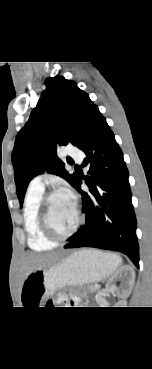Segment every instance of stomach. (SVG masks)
Returning a JSON list of instances; mask_svg holds the SVG:
<instances>
[{
    "label": "stomach",
    "mask_w": 152,
    "mask_h": 369,
    "mask_svg": "<svg viewBox=\"0 0 152 369\" xmlns=\"http://www.w3.org/2000/svg\"><path fill=\"white\" fill-rule=\"evenodd\" d=\"M120 263V257L112 253L75 252L54 266L31 272L22 283V298L38 303L66 285L81 286L107 278Z\"/></svg>",
    "instance_id": "stomach-1"
}]
</instances>
